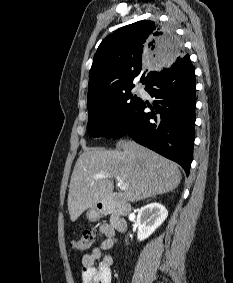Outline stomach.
<instances>
[{
	"instance_id": "0dacf381",
	"label": "stomach",
	"mask_w": 233,
	"mask_h": 283,
	"mask_svg": "<svg viewBox=\"0 0 233 283\" xmlns=\"http://www.w3.org/2000/svg\"><path fill=\"white\" fill-rule=\"evenodd\" d=\"M87 218L91 221L97 220L101 215V210H99L96 206L91 207L87 213Z\"/></svg>"
}]
</instances>
